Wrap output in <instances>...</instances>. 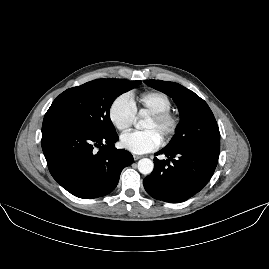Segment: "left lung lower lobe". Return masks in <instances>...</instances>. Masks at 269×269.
Here are the masks:
<instances>
[{"mask_svg":"<svg viewBox=\"0 0 269 269\" xmlns=\"http://www.w3.org/2000/svg\"><path fill=\"white\" fill-rule=\"evenodd\" d=\"M167 160L154 158V170L143 180L147 193L169 203L183 202L209 182L218 163L219 153L206 148H170L156 153Z\"/></svg>","mask_w":269,"mask_h":269,"instance_id":"obj_1","label":"left lung lower lobe"}]
</instances>
